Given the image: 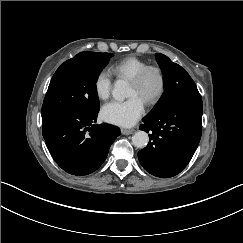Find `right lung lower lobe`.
Masks as SVG:
<instances>
[{"label": "right lung lower lobe", "instance_id": "obj_1", "mask_svg": "<svg viewBox=\"0 0 243 243\" xmlns=\"http://www.w3.org/2000/svg\"><path fill=\"white\" fill-rule=\"evenodd\" d=\"M97 114L70 109L42 118V134L50 154L69 174L83 176L97 170L120 135L116 126L94 124Z\"/></svg>", "mask_w": 243, "mask_h": 243}]
</instances>
